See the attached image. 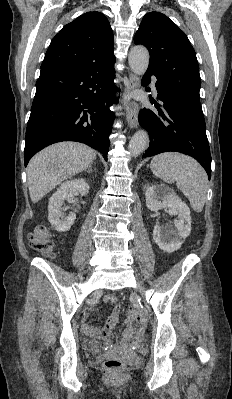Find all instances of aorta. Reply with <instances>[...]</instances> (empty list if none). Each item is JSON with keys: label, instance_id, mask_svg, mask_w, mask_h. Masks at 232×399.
<instances>
[{"label": "aorta", "instance_id": "1", "mask_svg": "<svg viewBox=\"0 0 232 399\" xmlns=\"http://www.w3.org/2000/svg\"><path fill=\"white\" fill-rule=\"evenodd\" d=\"M128 61L135 74L143 75L149 65V52L143 46H135L130 50ZM148 144V133L145 130H139L132 136L128 150L133 156H138L145 151Z\"/></svg>", "mask_w": 232, "mask_h": 399}]
</instances>
